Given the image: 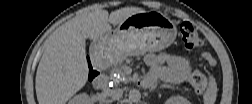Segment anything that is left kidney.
<instances>
[{
    "mask_svg": "<svg viewBox=\"0 0 252 104\" xmlns=\"http://www.w3.org/2000/svg\"><path fill=\"white\" fill-rule=\"evenodd\" d=\"M167 102L169 104H187L188 100L182 96H172L167 100Z\"/></svg>",
    "mask_w": 252,
    "mask_h": 104,
    "instance_id": "1",
    "label": "left kidney"
}]
</instances>
